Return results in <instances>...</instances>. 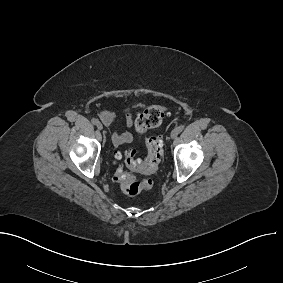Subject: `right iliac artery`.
<instances>
[{
	"label": "right iliac artery",
	"mask_w": 283,
	"mask_h": 283,
	"mask_svg": "<svg viewBox=\"0 0 283 283\" xmlns=\"http://www.w3.org/2000/svg\"><path fill=\"white\" fill-rule=\"evenodd\" d=\"M91 122H92L94 125H97V124L99 123V120H98V119L93 118V119L91 120Z\"/></svg>",
	"instance_id": "obj_1"
}]
</instances>
